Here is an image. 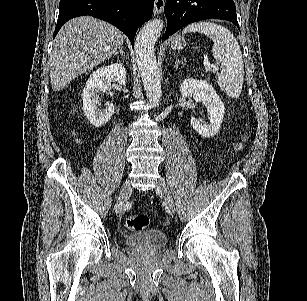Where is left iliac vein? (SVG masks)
<instances>
[{"label":"left iliac vein","instance_id":"1","mask_svg":"<svg viewBox=\"0 0 307 301\" xmlns=\"http://www.w3.org/2000/svg\"><path fill=\"white\" fill-rule=\"evenodd\" d=\"M155 192L157 194L162 195L170 211L172 212L175 211L176 206H175L174 198L172 197L170 190L163 179H160L159 183L157 184L155 188Z\"/></svg>","mask_w":307,"mask_h":301}]
</instances>
